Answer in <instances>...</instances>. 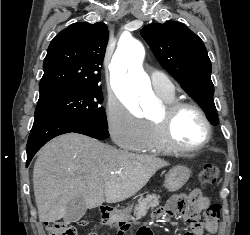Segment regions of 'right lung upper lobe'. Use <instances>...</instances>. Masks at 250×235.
<instances>
[{
    "instance_id": "right-lung-upper-lobe-1",
    "label": "right lung upper lobe",
    "mask_w": 250,
    "mask_h": 235,
    "mask_svg": "<svg viewBox=\"0 0 250 235\" xmlns=\"http://www.w3.org/2000/svg\"><path fill=\"white\" fill-rule=\"evenodd\" d=\"M107 42L102 22H77L58 33L44 60L40 97L98 86Z\"/></svg>"
}]
</instances>
